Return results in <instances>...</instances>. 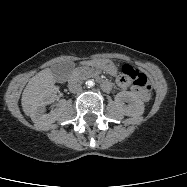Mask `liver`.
I'll list each match as a JSON object with an SVG mask.
<instances>
[{
  "mask_svg": "<svg viewBox=\"0 0 187 187\" xmlns=\"http://www.w3.org/2000/svg\"><path fill=\"white\" fill-rule=\"evenodd\" d=\"M55 82L56 79L50 68L40 71L28 82L22 93L21 105L24 113L32 120L42 104L44 94L54 87Z\"/></svg>",
  "mask_w": 187,
  "mask_h": 187,
  "instance_id": "obj_1",
  "label": "liver"
}]
</instances>
